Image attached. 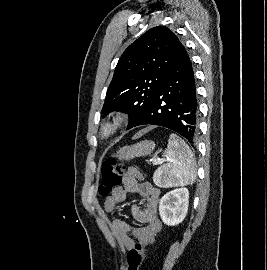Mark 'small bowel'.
<instances>
[{
    "mask_svg": "<svg viewBox=\"0 0 267 270\" xmlns=\"http://www.w3.org/2000/svg\"><path fill=\"white\" fill-rule=\"evenodd\" d=\"M128 194H138L144 201L142 206L133 205L131 208L134 219L141 225L134 227L123 219L114 218L111 228L119 244L130 251L136 243L144 248L152 244L161 229V222L158 217L159 191L151 183L143 181L136 168H129L124 175L123 186L106 198L105 210L115 212ZM134 237L138 242L134 241Z\"/></svg>",
    "mask_w": 267,
    "mask_h": 270,
    "instance_id": "1",
    "label": "small bowel"
}]
</instances>
